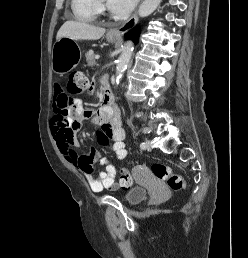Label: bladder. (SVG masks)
Masks as SVG:
<instances>
[{"label":"bladder","instance_id":"obj_1","mask_svg":"<svg viewBox=\"0 0 248 258\" xmlns=\"http://www.w3.org/2000/svg\"><path fill=\"white\" fill-rule=\"evenodd\" d=\"M148 195L144 188L133 187L124 195V199L128 204L135 205L143 201Z\"/></svg>","mask_w":248,"mask_h":258}]
</instances>
